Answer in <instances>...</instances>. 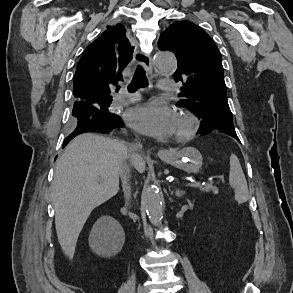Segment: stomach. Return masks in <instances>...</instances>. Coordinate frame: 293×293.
Segmentation results:
<instances>
[{
	"label": "stomach",
	"mask_w": 293,
	"mask_h": 293,
	"mask_svg": "<svg viewBox=\"0 0 293 293\" xmlns=\"http://www.w3.org/2000/svg\"><path fill=\"white\" fill-rule=\"evenodd\" d=\"M166 163L187 173H197L202 166L203 158L199 150L185 147L168 157L162 158Z\"/></svg>",
	"instance_id": "1"
}]
</instances>
